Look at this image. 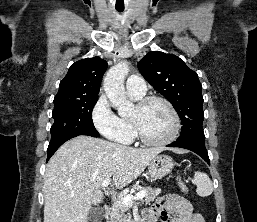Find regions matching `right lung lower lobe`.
Returning a JSON list of instances; mask_svg holds the SVG:
<instances>
[{"instance_id":"1","label":"right lung lower lobe","mask_w":257,"mask_h":222,"mask_svg":"<svg viewBox=\"0 0 257 222\" xmlns=\"http://www.w3.org/2000/svg\"><path fill=\"white\" fill-rule=\"evenodd\" d=\"M78 135H74V136H69L66 138H63L59 141H56L54 143H49L48 149H47V161L50 159V157L56 152V150L67 140L76 137Z\"/></svg>"}]
</instances>
